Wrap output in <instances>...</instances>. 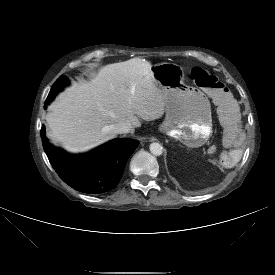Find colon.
<instances>
[{"label": "colon", "mask_w": 275, "mask_h": 275, "mask_svg": "<svg viewBox=\"0 0 275 275\" xmlns=\"http://www.w3.org/2000/svg\"><path fill=\"white\" fill-rule=\"evenodd\" d=\"M191 76L195 84L204 89L217 106L228 101L229 92L227 88L214 74L196 66L192 69Z\"/></svg>", "instance_id": "5ec220e1"}]
</instances>
